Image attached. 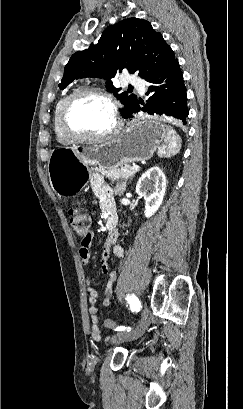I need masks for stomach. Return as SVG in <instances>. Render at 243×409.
I'll return each mask as SVG.
<instances>
[{"label":"stomach","instance_id":"1","mask_svg":"<svg viewBox=\"0 0 243 409\" xmlns=\"http://www.w3.org/2000/svg\"><path fill=\"white\" fill-rule=\"evenodd\" d=\"M166 134L153 117L132 120L112 139L95 146L58 147L51 152L48 176L59 196L78 194L95 167L112 169L151 158Z\"/></svg>","mask_w":243,"mask_h":409}]
</instances>
